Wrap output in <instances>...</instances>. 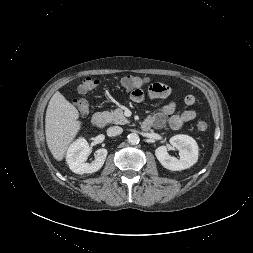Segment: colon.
I'll return each mask as SVG.
<instances>
[{
  "label": "colon",
  "mask_w": 253,
  "mask_h": 253,
  "mask_svg": "<svg viewBox=\"0 0 253 253\" xmlns=\"http://www.w3.org/2000/svg\"><path fill=\"white\" fill-rule=\"evenodd\" d=\"M148 82V79L142 78L137 75H126L124 76L120 83L121 86L126 89H137L145 85ZM100 84V81L94 77H86L82 80L81 84L78 87V92L80 94H86L87 92L95 89ZM75 107L78 112L82 115L87 114L89 111V104L87 100L80 98L74 101ZM196 127L200 131H204L208 128V122L205 118H200L196 121Z\"/></svg>",
  "instance_id": "colon-1"
}]
</instances>
